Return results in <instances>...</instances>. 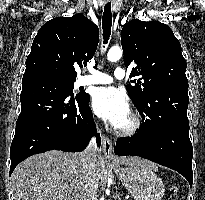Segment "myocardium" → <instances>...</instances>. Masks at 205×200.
<instances>
[{
	"instance_id": "f54148a6",
	"label": "myocardium",
	"mask_w": 205,
	"mask_h": 200,
	"mask_svg": "<svg viewBox=\"0 0 205 200\" xmlns=\"http://www.w3.org/2000/svg\"><path fill=\"white\" fill-rule=\"evenodd\" d=\"M130 124L125 128H118L116 130L117 134L121 137H134L136 136L142 127V119L138 113L132 111L130 113Z\"/></svg>"
}]
</instances>
